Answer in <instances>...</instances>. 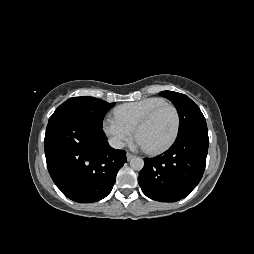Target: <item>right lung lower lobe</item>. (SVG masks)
Returning a JSON list of instances; mask_svg holds the SVG:
<instances>
[{"label": "right lung lower lobe", "instance_id": "right-lung-lower-lobe-1", "mask_svg": "<svg viewBox=\"0 0 254 254\" xmlns=\"http://www.w3.org/2000/svg\"><path fill=\"white\" fill-rule=\"evenodd\" d=\"M44 147L52 180L79 203L106 197L127 161L124 150L108 144L101 127L70 116L49 120Z\"/></svg>", "mask_w": 254, "mask_h": 254}]
</instances>
